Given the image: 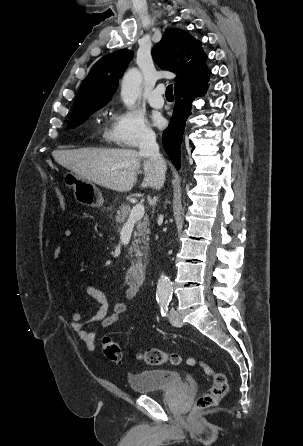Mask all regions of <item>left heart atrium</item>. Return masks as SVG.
Wrapping results in <instances>:
<instances>
[{
    "mask_svg": "<svg viewBox=\"0 0 303 446\" xmlns=\"http://www.w3.org/2000/svg\"><path fill=\"white\" fill-rule=\"evenodd\" d=\"M154 123L158 127H163L165 125V120H164V118L162 116L155 115L154 116Z\"/></svg>",
    "mask_w": 303,
    "mask_h": 446,
    "instance_id": "left-heart-atrium-1",
    "label": "left heart atrium"
}]
</instances>
